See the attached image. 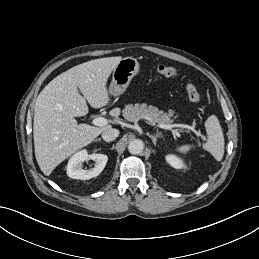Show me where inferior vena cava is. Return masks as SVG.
<instances>
[{
  "label": "inferior vena cava",
  "mask_w": 259,
  "mask_h": 259,
  "mask_svg": "<svg viewBox=\"0 0 259 259\" xmlns=\"http://www.w3.org/2000/svg\"><path fill=\"white\" fill-rule=\"evenodd\" d=\"M118 135L119 131L117 129L110 128L102 133V138L106 142H111L115 140L118 137Z\"/></svg>",
  "instance_id": "obj_1"
}]
</instances>
